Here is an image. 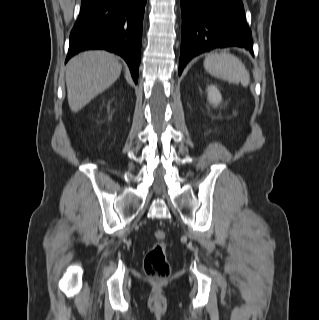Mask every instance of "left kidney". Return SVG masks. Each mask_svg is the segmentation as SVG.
Instances as JSON below:
<instances>
[{
    "instance_id": "left-kidney-1",
    "label": "left kidney",
    "mask_w": 319,
    "mask_h": 320,
    "mask_svg": "<svg viewBox=\"0 0 319 320\" xmlns=\"http://www.w3.org/2000/svg\"><path fill=\"white\" fill-rule=\"evenodd\" d=\"M207 93H208V101L214 106H217L222 101L221 93L216 86L214 85L208 86Z\"/></svg>"
}]
</instances>
